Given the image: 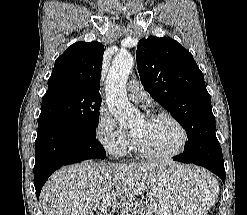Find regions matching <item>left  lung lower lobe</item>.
Listing matches in <instances>:
<instances>
[{"instance_id":"left-lung-lower-lobe-1","label":"left lung lower lobe","mask_w":247,"mask_h":215,"mask_svg":"<svg viewBox=\"0 0 247 215\" xmlns=\"http://www.w3.org/2000/svg\"><path fill=\"white\" fill-rule=\"evenodd\" d=\"M174 160L203 166L218 175L225 183L223 155L217 139L196 141L193 153L180 154Z\"/></svg>"}]
</instances>
